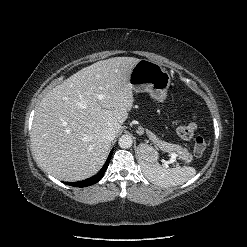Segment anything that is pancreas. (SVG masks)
<instances>
[{"label": "pancreas", "instance_id": "pancreas-1", "mask_svg": "<svg viewBox=\"0 0 247 247\" xmlns=\"http://www.w3.org/2000/svg\"><path fill=\"white\" fill-rule=\"evenodd\" d=\"M150 139L164 152L178 153L181 158L189 161L192 158V155L188 152L186 148H182L180 145L167 143L165 141L159 140L154 134L148 132Z\"/></svg>", "mask_w": 247, "mask_h": 247}]
</instances>
